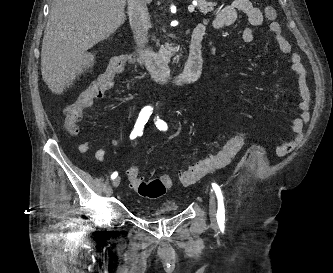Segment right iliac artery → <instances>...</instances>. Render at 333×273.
I'll list each match as a JSON object with an SVG mask.
<instances>
[{
    "mask_svg": "<svg viewBox=\"0 0 333 273\" xmlns=\"http://www.w3.org/2000/svg\"><path fill=\"white\" fill-rule=\"evenodd\" d=\"M152 111H153V108L151 106H146L141 110V112L138 116V119L135 123L134 129L130 134L131 140L135 139L137 136H142L144 125L147 123L150 115L152 114ZM117 176H118V173L114 172L111 175V179H115Z\"/></svg>",
    "mask_w": 333,
    "mask_h": 273,
    "instance_id": "82829eb1",
    "label": "right iliac artery"
}]
</instances>
